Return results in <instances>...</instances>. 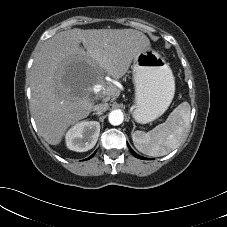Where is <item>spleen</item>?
<instances>
[{"label":"spleen","mask_w":227,"mask_h":227,"mask_svg":"<svg viewBox=\"0 0 227 227\" xmlns=\"http://www.w3.org/2000/svg\"><path fill=\"white\" fill-rule=\"evenodd\" d=\"M190 105L183 102L168 116L167 120L149 132L132 133L134 146L148 156L159 157L176 149L189 130Z\"/></svg>","instance_id":"1"}]
</instances>
